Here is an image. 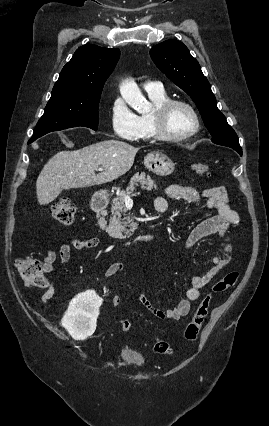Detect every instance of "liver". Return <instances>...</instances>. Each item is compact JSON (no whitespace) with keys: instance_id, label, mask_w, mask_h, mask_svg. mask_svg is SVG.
<instances>
[{"instance_id":"6515ba94","label":"liver","mask_w":269,"mask_h":426,"mask_svg":"<svg viewBox=\"0 0 269 426\" xmlns=\"http://www.w3.org/2000/svg\"><path fill=\"white\" fill-rule=\"evenodd\" d=\"M138 148L117 140H105L76 151H60L51 157L36 181L40 205H47L70 188L111 182L127 173ZM101 167L103 172L95 174Z\"/></svg>"}]
</instances>
